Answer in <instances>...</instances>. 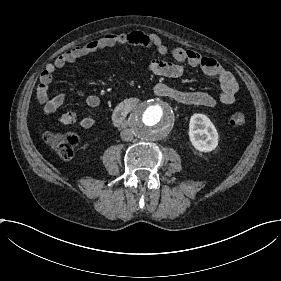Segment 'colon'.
Returning a JSON list of instances; mask_svg holds the SVG:
<instances>
[{"label":"colon","mask_w":281,"mask_h":281,"mask_svg":"<svg viewBox=\"0 0 281 281\" xmlns=\"http://www.w3.org/2000/svg\"><path fill=\"white\" fill-rule=\"evenodd\" d=\"M230 122L235 127H241L246 122V115L242 111H234ZM45 142L63 158H72L75 155L79 138L75 133L66 131H53L45 136Z\"/></svg>","instance_id":"1"}]
</instances>
